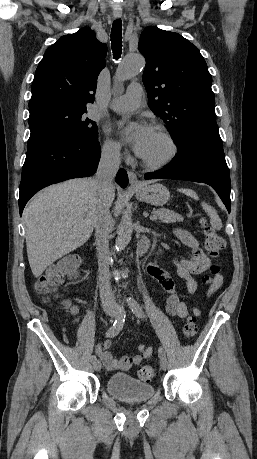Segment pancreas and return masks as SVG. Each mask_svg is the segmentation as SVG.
<instances>
[{
  "mask_svg": "<svg viewBox=\"0 0 257 459\" xmlns=\"http://www.w3.org/2000/svg\"><path fill=\"white\" fill-rule=\"evenodd\" d=\"M154 213L163 223H175L183 221V217L181 215L165 208L157 209L154 211Z\"/></svg>",
  "mask_w": 257,
  "mask_h": 459,
  "instance_id": "obj_1",
  "label": "pancreas"
}]
</instances>
